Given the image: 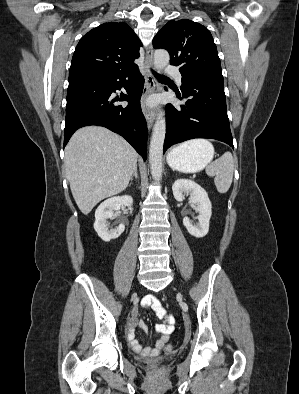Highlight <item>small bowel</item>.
<instances>
[{
	"instance_id": "1",
	"label": "small bowel",
	"mask_w": 299,
	"mask_h": 394,
	"mask_svg": "<svg viewBox=\"0 0 299 394\" xmlns=\"http://www.w3.org/2000/svg\"><path fill=\"white\" fill-rule=\"evenodd\" d=\"M142 305L153 310L158 319L161 320V322H157L155 324V330L160 333L161 336L156 341L154 347H143L135 338V329L137 325H140L144 331H147V327L143 322L138 321L137 309L133 308L131 318L128 322L127 340L135 352L142 356L155 357L160 354L169 341V338L174 331L175 318L172 314L167 312L161 302L153 295L145 296L142 300Z\"/></svg>"
}]
</instances>
